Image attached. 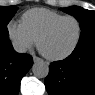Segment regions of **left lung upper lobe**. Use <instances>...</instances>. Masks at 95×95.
I'll return each mask as SVG.
<instances>
[{"mask_svg":"<svg viewBox=\"0 0 95 95\" xmlns=\"http://www.w3.org/2000/svg\"><path fill=\"white\" fill-rule=\"evenodd\" d=\"M62 10L73 15L80 22L82 31L78 44L95 38V11L83 9L78 6H71Z\"/></svg>","mask_w":95,"mask_h":95,"instance_id":"5c2ea615","label":"left lung upper lobe"}]
</instances>
